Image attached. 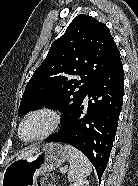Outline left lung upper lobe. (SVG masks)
Segmentation results:
<instances>
[{
	"label": "left lung upper lobe",
	"mask_w": 138,
	"mask_h": 186,
	"mask_svg": "<svg viewBox=\"0 0 138 186\" xmlns=\"http://www.w3.org/2000/svg\"><path fill=\"white\" fill-rule=\"evenodd\" d=\"M119 60L108 27L91 16H76L26 85L19 116L46 106L64 114V125L89 88Z\"/></svg>",
	"instance_id": "left-lung-upper-lobe-1"
}]
</instances>
